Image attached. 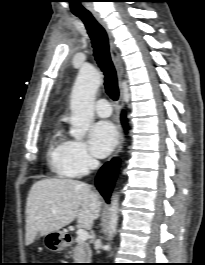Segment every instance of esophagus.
Segmentation results:
<instances>
[{
  "instance_id": "34e87169",
  "label": "esophagus",
  "mask_w": 205,
  "mask_h": 265,
  "mask_svg": "<svg viewBox=\"0 0 205 265\" xmlns=\"http://www.w3.org/2000/svg\"><path fill=\"white\" fill-rule=\"evenodd\" d=\"M93 16L97 20V22L105 29V31L107 33L108 40H109V48H110L111 58H112L113 64H114L116 72H117V77H118L119 83H121L123 76H124V68H123L120 54H119V52L115 46L113 35H112L110 29L108 28V25L100 17L99 14L93 13ZM123 107H124L123 92H122V89L120 88V95H119V98L117 101V112H118V114L121 113ZM123 143H124V136H123V133L121 130L119 145H118V148L116 150L115 156L121 151V149L123 147Z\"/></svg>"
}]
</instances>
